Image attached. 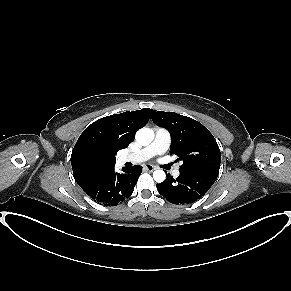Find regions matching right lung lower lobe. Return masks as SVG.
<instances>
[{"label":"right lung lower lobe","instance_id":"obj_1","mask_svg":"<svg viewBox=\"0 0 291 291\" xmlns=\"http://www.w3.org/2000/svg\"><path fill=\"white\" fill-rule=\"evenodd\" d=\"M142 172V166L122 168V173L110 171L109 173L88 182L81 188L94 201L105 206H116L128 198Z\"/></svg>","mask_w":291,"mask_h":291}]
</instances>
